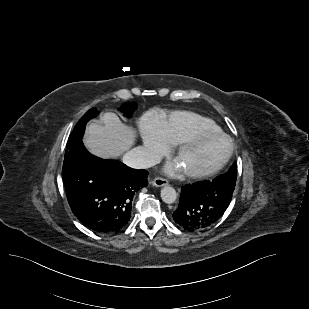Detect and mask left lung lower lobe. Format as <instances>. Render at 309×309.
Instances as JSON below:
<instances>
[{
  "mask_svg": "<svg viewBox=\"0 0 309 309\" xmlns=\"http://www.w3.org/2000/svg\"><path fill=\"white\" fill-rule=\"evenodd\" d=\"M234 189L235 184L216 179L183 186L174 221L188 231L209 228L228 208Z\"/></svg>",
  "mask_w": 309,
  "mask_h": 309,
  "instance_id": "left-lung-lower-lobe-1",
  "label": "left lung lower lobe"
}]
</instances>
